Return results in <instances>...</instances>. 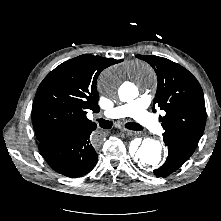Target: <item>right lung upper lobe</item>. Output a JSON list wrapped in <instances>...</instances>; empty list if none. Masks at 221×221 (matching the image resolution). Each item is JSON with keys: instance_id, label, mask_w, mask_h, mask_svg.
<instances>
[{"instance_id": "1", "label": "right lung upper lobe", "mask_w": 221, "mask_h": 221, "mask_svg": "<svg viewBox=\"0 0 221 221\" xmlns=\"http://www.w3.org/2000/svg\"><path fill=\"white\" fill-rule=\"evenodd\" d=\"M121 61L84 54L51 71L39 85L32 106L37 140L42 142L65 132L96 127L86 114L88 110H100L97 78L105 68Z\"/></svg>"}]
</instances>
